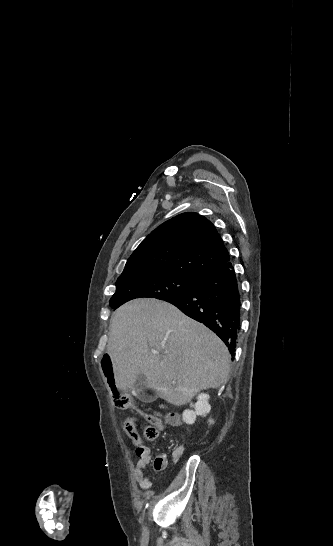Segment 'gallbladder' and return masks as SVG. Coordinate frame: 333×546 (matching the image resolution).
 <instances>
[{
  "mask_svg": "<svg viewBox=\"0 0 333 546\" xmlns=\"http://www.w3.org/2000/svg\"><path fill=\"white\" fill-rule=\"evenodd\" d=\"M146 381H147L146 376L144 374H140L136 379L133 390L135 391L138 399L151 402L152 397L145 393L147 389Z\"/></svg>",
  "mask_w": 333,
  "mask_h": 546,
  "instance_id": "bac80fb5",
  "label": "gallbladder"
}]
</instances>
